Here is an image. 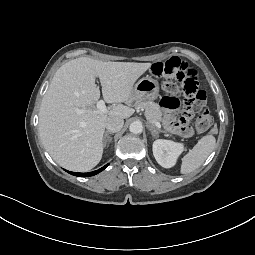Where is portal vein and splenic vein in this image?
<instances>
[{
  "label": "portal vein and splenic vein",
  "mask_w": 255,
  "mask_h": 255,
  "mask_svg": "<svg viewBox=\"0 0 255 255\" xmlns=\"http://www.w3.org/2000/svg\"><path fill=\"white\" fill-rule=\"evenodd\" d=\"M97 109L100 113H105L107 111V108L105 106V102L103 100H99L97 102ZM84 111L83 110H78V113H83ZM154 125L157 127V128H161V124L158 122V121H155L154 122Z\"/></svg>",
  "instance_id": "1"
}]
</instances>
